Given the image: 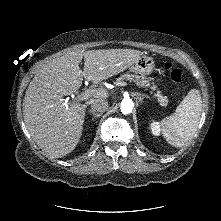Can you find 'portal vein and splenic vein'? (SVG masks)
I'll return each mask as SVG.
<instances>
[{
    "mask_svg": "<svg viewBox=\"0 0 221 221\" xmlns=\"http://www.w3.org/2000/svg\"><path fill=\"white\" fill-rule=\"evenodd\" d=\"M117 85H120V86H127L128 83L127 82H119L117 83ZM93 91V90H92ZM92 91L91 90H87L83 93H81L80 95H78V101H84V100H87L91 94H92Z\"/></svg>",
    "mask_w": 221,
    "mask_h": 221,
    "instance_id": "18ae733b",
    "label": "portal vein and splenic vein"
}]
</instances>
